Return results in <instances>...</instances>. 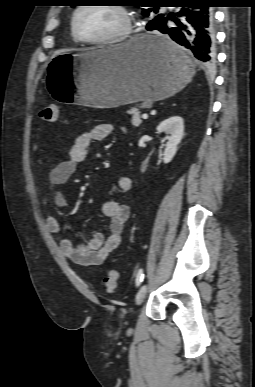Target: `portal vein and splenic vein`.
I'll return each mask as SVG.
<instances>
[{"label":"portal vein and splenic vein","mask_w":255,"mask_h":387,"mask_svg":"<svg viewBox=\"0 0 255 387\" xmlns=\"http://www.w3.org/2000/svg\"><path fill=\"white\" fill-rule=\"evenodd\" d=\"M142 118H143V119H148V115H147L146 113H144V114L142 115Z\"/></svg>","instance_id":"1"}]
</instances>
